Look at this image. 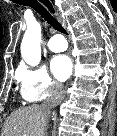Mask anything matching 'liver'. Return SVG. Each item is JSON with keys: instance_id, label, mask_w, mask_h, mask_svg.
<instances>
[{"instance_id": "obj_1", "label": "liver", "mask_w": 117, "mask_h": 136, "mask_svg": "<svg viewBox=\"0 0 117 136\" xmlns=\"http://www.w3.org/2000/svg\"><path fill=\"white\" fill-rule=\"evenodd\" d=\"M50 113L42 105H31L14 111L7 118L2 136H44Z\"/></svg>"}]
</instances>
